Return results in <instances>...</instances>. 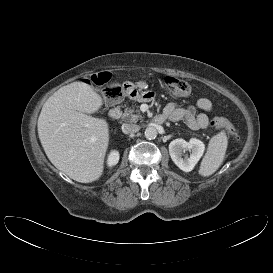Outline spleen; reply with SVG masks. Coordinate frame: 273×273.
<instances>
[{
    "mask_svg": "<svg viewBox=\"0 0 273 273\" xmlns=\"http://www.w3.org/2000/svg\"><path fill=\"white\" fill-rule=\"evenodd\" d=\"M227 146L228 138L225 131H221L211 138L198 171L201 176L208 177L218 170L224 161Z\"/></svg>",
    "mask_w": 273,
    "mask_h": 273,
    "instance_id": "obj_1",
    "label": "spleen"
}]
</instances>
